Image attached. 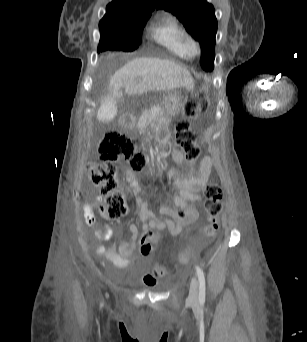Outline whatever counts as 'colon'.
I'll return each mask as SVG.
<instances>
[{"label": "colon", "instance_id": "1", "mask_svg": "<svg viewBox=\"0 0 307 342\" xmlns=\"http://www.w3.org/2000/svg\"><path fill=\"white\" fill-rule=\"evenodd\" d=\"M207 104L188 98L184 102L183 117L175 124V141L183 152L186 162L193 164L199 160L201 149L196 143V135L191 129V123L206 110ZM98 158L104 163L94 162L88 166L90 182L98 187L103 194L104 215L109 219H119L126 214L127 206L123 195L118 191L115 176V164L126 163L134 171L145 167V157L138 150L136 143L125 132L111 131L103 136L98 146ZM223 190L219 183L209 182L205 186L204 209L207 213V223L204 233L208 238L215 239L219 230V214L222 210ZM154 230H145L139 242L140 255L150 256L156 247L151 244L157 238ZM178 260L183 266H189V255L179 252ZM167 273L165 266H158L152 274L143 277L147 286H155L159 279Z\"/></svg>", "mask_w": 307, "mask_h": 342}]
</instances>
